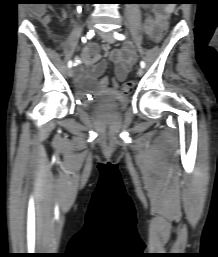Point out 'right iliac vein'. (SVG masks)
<instances>
[{
  "mask_svg": "<svg viewBox=\"0 0 218 257\" xmlns=\"http://www.w3.org/2000/svg\"><path fill=\"white\" fill-rule=\"evenodd\" d=\"M87 27H88L89 30L93 29V27H94V21H93V20H89V21H88V24H87ZM73 74H74V71H73V69L70 68V69L67 71V75H68L69 77H73Z\"/></svg>",
  "mask_w": 218,
  "mask_h": 257,
  "instance_id": "right-iliac-vein-1",
  "label": "right iliac vein"
}]
</instances>
